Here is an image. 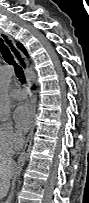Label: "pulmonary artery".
Here are the masks:
<instances>
[{"instance_id": "e3ab8cb5", "label": "pulmonary artery", "mask_w": 89, "mask_h": 203, "mask_svg": "<svg viewBox=\"0 0 89 203\" xmlns=\"http://www.w3.org/2000/svg\"><path fill=\"white\" fill-rule=\"evenodd\" d=\"M11 97L16 100H23L26 98L27 93L22 89H13L10 93Z\"/></svg>"}]
</instances>
